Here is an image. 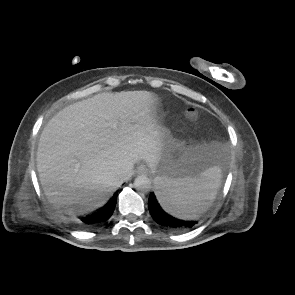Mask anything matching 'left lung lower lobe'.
Returning a JSON list of instances; mask_svg holds the SVG:
<instances>
[{
    "label": "left lung lower lobe",
    "mask_w": 295,
    "mask_h": 295,
    "mask_svg": "<svg viewBox=\"0 0 295 295\" xmlns=\"http://www.w3.org/2000/svg\"><path fill=\"white\" fill-rule=\"evenodd\" d=\"M148 207L153 219L159 225L168 229L183 231L188 230L197 224V221H185L166 212L160 205L157 196L154 193L150 194Z\"/></svg>",
    "instance_id": "0a47b994"
}]
</instances>
